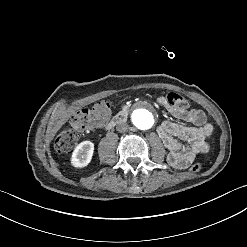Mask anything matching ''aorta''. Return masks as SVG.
Wrapping results in <instances>:
<instances>
[{"instance_id":"aorta-1","label":"aorta","mask_w":247,"mask_h":247,"mask_svg":"<svg viewBox=\"0 0 247 247\" xmlns=\"http://www.w3.org/2000/svg\"><path fill=\"white\" fill-rule=\"evenodd\" d=\"M135 125L140 129H149L153 125V118L146 110H139L133 115Z\"/></svg>"}]
</instances>
